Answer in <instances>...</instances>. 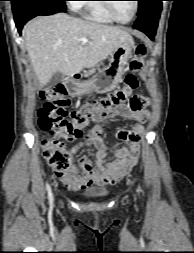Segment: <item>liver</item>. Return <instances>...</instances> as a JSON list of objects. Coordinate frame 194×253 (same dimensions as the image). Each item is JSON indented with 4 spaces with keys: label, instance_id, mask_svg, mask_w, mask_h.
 Masks as SVG:
<instances>
[{
    "label": "liver",
    "instance_id": "obj_1",
    "mask_svg": "<svg viewBox=\"0 0 194 253\" xmlns=\"http://www.w3.org/2000/svg\"><path fill=\"white\" fill-rule=\"evenodd\" d=\"M26 49L39 80L46 85L56 72L73 76L106 59L122 43L134 44L120 27L58 13L37 17L23 28ZM81 38L88 39L86 44Z\"/></svg>",
    "mask_w": 194,
    "mask_h": 253
}]
</instances>
